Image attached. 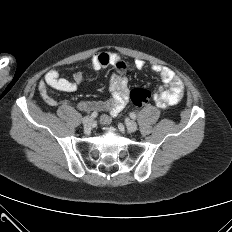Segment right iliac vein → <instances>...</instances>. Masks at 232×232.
Returning <instances> with one entry per match:
<instances>
[{"label": "right iliac vein", "instance_id": "obj_1", "mask_svg": "<svg viewBox=\"0 0 232 232\" xmlns=\"http://www.w3.org/2000/svg\"><path fill=\"white\" fill-rule=\"evenodd\" d=\"M82 123H83L84 127L88 129V128H90L92 126L93 119L91 117H88V116L84 117L82 119Z\"/></svg>", "mask_w": 232, "mask_h": 232}]
</instances>
